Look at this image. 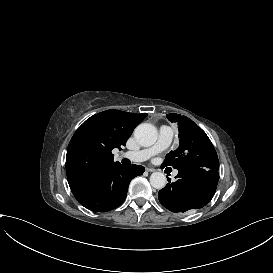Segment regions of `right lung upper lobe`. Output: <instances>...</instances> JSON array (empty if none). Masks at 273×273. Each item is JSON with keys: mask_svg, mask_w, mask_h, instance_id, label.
I'll return each instance as SVG.
<instances>
[{"mask_svg": "<svg viewBox=\"0 0 273 273\" xmlns=\"http://www.w3.org/2000/svg\"><path fill=\"white\" fill-rule=\"evenodd\" d=\"M147 114L106 110L88 118L74 133L67 149L66 174L72 193L119 165L112 150L121 149Z\"/></svg>", "mask_w": 273, "mask_h": 273, "instance_id": "cb5924a9", "label": "right lung upper lobe"}]
</instances>
